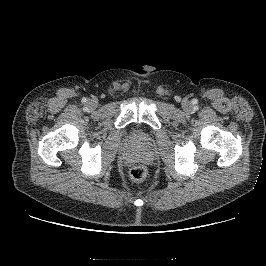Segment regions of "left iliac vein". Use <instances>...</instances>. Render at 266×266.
Instances as JSON below:
<instances>
[{
	"mask_svg": "<svg viewBox=\"0 0 266 266\" xmlns=\"http://www.w3.org/2000/svg\"><path fill=\"white\" fill-rule=\"evenodd\" d=\"M184 109L185 110H188L189 109V106L187 104L184 105Z\"/></svg>",
	"mask_w": 266,
	"mask_h": 266,
	"instance_id": "1",
	"label": "left iliac vein"
}]
</instances>
